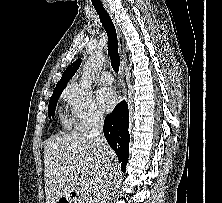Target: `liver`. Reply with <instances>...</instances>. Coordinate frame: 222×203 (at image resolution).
Returning a JSON list of instances; mask_svg holds the SVG:
<instances>
[{
  "mask_svg": "<svg viewBox=\"0 0 222 203\" xmlns=\"http://www.w3.org/2000/svg\"><path fill=\"white\" fill-rule=\"evenodd\" d=\"M104 152L113 162L115 154L108 144L103 145L86 133H67L47 140L44 145L46 203H56L68 196L79 181L95 186L105 168Z\"/></svg>",
  "mask_w": 222,
  "mask_h": 203,
  "instance_id": "obj_1",
  "label": "liver"
}]
</instances>
